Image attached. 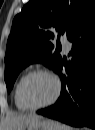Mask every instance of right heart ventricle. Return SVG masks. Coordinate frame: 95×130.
Wrapping results in <instances>:
<instances>
[{
	"label": "right heart ventricle",
	"mask_w": 95,
	"mask_h": 130,
	"mask_svg": "<svg viewBox=\"0 0 95 130\" xmlns=\"http://www.w3.org/2000/svg\"><path fill=\"white\" fill-rule=\"evenodd\" d=\"M25 75H22L19 77V79L17 80L16 84H15V87H14V92H13V99H14V103H15V106L18 110L20 111H27L28 109L25 108L19 101V98H18V89H19V85L23 79Z\"/></svg>",
	"instance_id": "right-heart-ventricle-1"
}]
</instances>
